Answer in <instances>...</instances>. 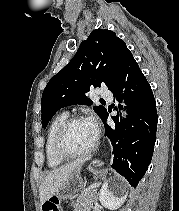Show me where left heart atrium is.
<instances>
[{
	"instance_id": "obj_1",
	"label": "left heart atrium",
	"mask_w": 179,
	"mask_h": 211,
	"mask_svg": "<svg viewBox=\"0 0 179 211\" xmlns=\"http://www.w3.org/2000/svg\"><path fill=\"white\" fill-rule=\"evenodd\" d=\"M86 122L89 125L94 136L97 137L99 133V124L97 119L94 116H90L86 119Z\"/></svg>"
}]
</instances>
